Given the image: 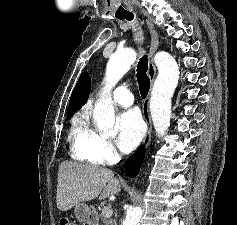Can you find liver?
I'll return each mask as SVG.
<instances>
[{"instance_id": "liver-1", "label": "liver", "mask_w": 237, "mask_h": 225, "mask_svg": "<svg viewBox=\"0 0 237 225\" xmlns=\"http://www.w3.org/2000/svg\"><path fill=\"white\" fill-rule=\"evenodd\" d=\"M57 208L70 210L84 201L104 199L118 194L121 184L114 173L106 168L92 164L64 161L59 166L57 179Z\"/></svg>"}]
</instances>
